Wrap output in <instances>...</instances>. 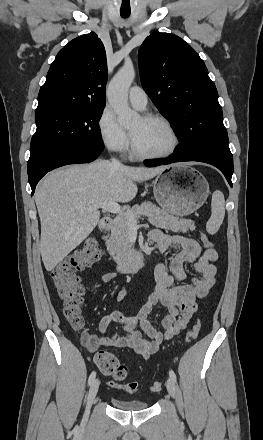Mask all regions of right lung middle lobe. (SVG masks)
<instances>
[{
    "instance_id": "obj_1",
    "label": "right lung middle lobe",
    "mask_w": 263,
    "mask_h": 440,
    "mask_svg": "<svg viewBox=\"0 0 263 440\" xmlns=\"http://www.w3.org/2000/svg\"><path fill=\"white\" fill-rule=\"evenodd\" d=\"M104 107H53L36 109V132L32 137L28 172L62 150L103 144L98 122Z\"/></svg>"
}]
</instances>
